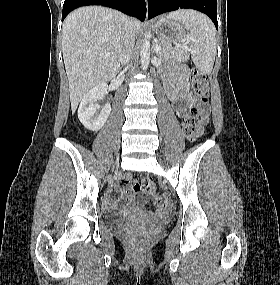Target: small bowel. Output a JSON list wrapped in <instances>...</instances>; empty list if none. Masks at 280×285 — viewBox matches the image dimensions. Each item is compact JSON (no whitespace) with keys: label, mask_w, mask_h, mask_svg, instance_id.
<instances>
[{"label":"small bowel","mask_w":280,"mask_h":285,"mask_svg":"<svg viewBox=\"0 0 280 285\" xmlns=\"http://www.w3.org/2000/svg\"><path fill=\"white\" fill-rule=\"evenodd\" d=\"M163 83L167 90L170 100L175 104V110L178 115L185 112L190 102V92L187 83V70L183 66H175L169 73L163 76ZM208 108L202 110V115L207 118ZM145 201L144 198H139Z\"/></svg>","instance_id":"obj_1"}]
</instances>
